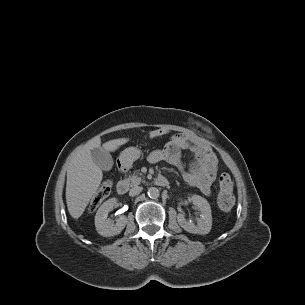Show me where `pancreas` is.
Listing matches in <instances>:
<instances>
[{"mask_svg": "<svg viewBox=\"0 0 305 305\" xmlns=\"http://www.w3.org/2000/svg\"><path fill=\"white\" fill-rule=\"evenodd\" d=\"M125 181L130 186H136L139 185L141 182H145L141 176L138 175V173L135 171L133 175L129 176L125 179Z\"/></svg>", "mask_w": 305, "mask_h": 305, "instance_id": "obj_1", "label": "pancreas"}]
</instances>
